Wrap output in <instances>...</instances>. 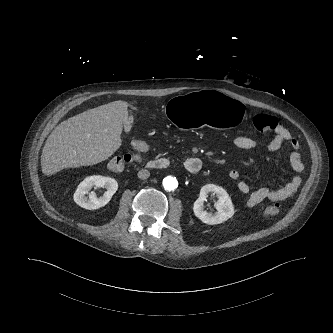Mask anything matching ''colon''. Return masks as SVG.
I'll list each match as a JSON object with an SVG mask.
<instances>
[{"instance_id":"obj_1","label":"colon","mask_w":333,"mask_h":333,"mask_svg":"<svg viewBox=\"0 0 333 333\" xmlns=\"http://www.w3.org/2000/svg\"><path fill=\"white\" fill-rule=\"evenodd\" d=\"M253 125L255 129L261 133L274 132L278 125L277 120L267 114H258L254 117ZM140 154H125L122 156H115L108 161L107 167L111 171H121L128 164L138 162L140 160ZM279 213L278 205H269L263 209V215L265 217L275 216Z\"/></svg>"}]
</instances>
